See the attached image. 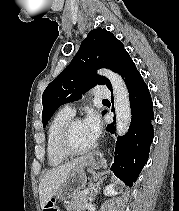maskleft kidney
I'll list each match as a JSON object with an SVG mask.
<instances>
[{
  "label": "left kidney",
  "mask_w": 179,
  "mask_h": 211,
  "mask_svg": "<svg viewBox=\"0 0 179 211\" xmlns=\"http://www.w3.org/2000/svg\"><path fill=\"white\" fill-rule=\"evenodd\" d=\"M115 194H116L115 188L113 186L108 185V186L105 187V189H104V195L105 196H113Z\"/></svg>",
  "instance_id": "left-kidney-1"
}]
</instances>
